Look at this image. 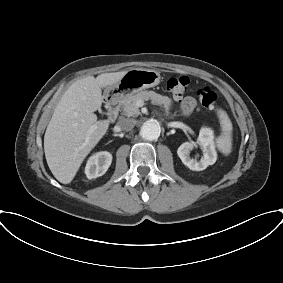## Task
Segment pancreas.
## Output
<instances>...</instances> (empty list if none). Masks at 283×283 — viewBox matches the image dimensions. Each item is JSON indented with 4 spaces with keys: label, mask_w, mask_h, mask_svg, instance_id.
<instances>
[{
    "label": "pancreas",
    "mask_w": 283,
    "mask_h": 283,
    "mask_svg": "<svg viewBox=\"0 0 283 283\" xmlns=\"http://www.w3.org/2000/svg\"><path fill=\"white\" fill-rule=\"evenodd\" d=\"M152 100L153 103L163 105L168 112L172 100L167 96H162L154 91H140L138 93L127 94L121 101L123 114L128 117L140 115L138 102Z\"/></svg>",
    "instance_id": "cf45deb5"
}]
</instances>
